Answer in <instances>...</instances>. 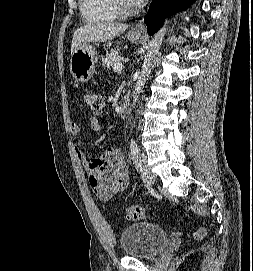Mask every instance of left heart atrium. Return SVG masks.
I'll use <instances>...</instances> for the list:
<instances>
[{
    "label": "left heart atrium",
    "instance_id": "1",
    "mask_svg": "<svg viewBox=\"0 0 253 271\" xmlns=\"http://www.w3.org/2000/svg\"><path fill=\"white\" fill-rule=\"evenodd\" d=\"M134 2H135L137 5H141L142 3L145 2V0H134Z\"/></svg>",
    "mask_w": 253,
    "mask_h": 271
}]
</instances>
